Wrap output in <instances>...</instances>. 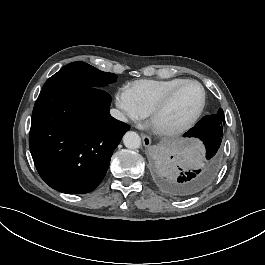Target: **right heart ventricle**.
Masks as SVG:
<instances>
[{
	"mask_svg": "<svg viewBox=\"0 0 265 265\" xmlns=\"http://www.w3.org/2000/svg\"><path fill=\"white\" fill-rule=\"evenodd\" d=\"M184 79L183 77H173L160 80H137L127 87L131 89L137 107L148 115Z\"/></svg>",
	"mask_w": 265,
	"mask_h": 265,
	"instance_id": "1",
	"label": "right heart ventricle"
}]
</instances>
